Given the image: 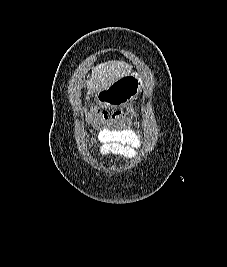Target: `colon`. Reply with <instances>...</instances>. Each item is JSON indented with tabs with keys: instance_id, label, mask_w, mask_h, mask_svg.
Returning <instances> with one entry per match:
<instances>
[{
	"instance_id": "colon-1",
	"label": "colon",
	"mask_w": 227,
	"mask_h": 267,
	"mask_svg": "<svg viewBox=\"0 0 227 267\" xmlns=\"http://www.w3.org/2000/svg\"><path fill=\"white\" fill-rule=\"evenodd\" d=\"M124 115L137 119V114L131 110H124ZM89 118L95 130H125V125H132V120H124L123 110H114L113 114H110V110H92Z\"/></svg>"
}]
</instances>
